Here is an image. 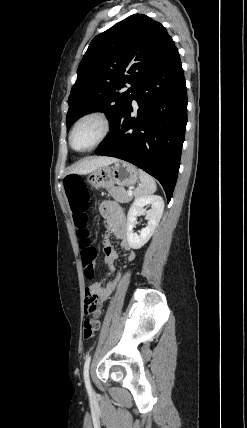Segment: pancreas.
Listing matches in <instances>:
<instances>
[{
  "instance_id": "pancreas-1",
  "label": "pancreas",
  "mask_w": 247,
  "mask_h": 428,
  "mask_svg": "<svg viewBox=\"0 0 247 428\" xmlns=\"http://www.w3.org/2000/svg\"><path fill=\"white\" fill-rule=\"evenodd\" d=\"M108 193L113 197L114 200L120 203H128L132 200V196H129L127 191L122 186H113L108 189Z\"/></svg>"
}]
</instances>
